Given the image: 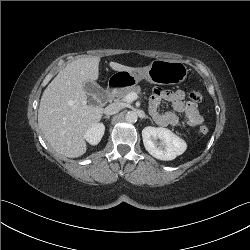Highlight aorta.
Listing matches in <instances>:
<instances>
[{"mask_svg": "<svg viewBox=\"0 0 250 250\" xmlns=\"http://www.w3.org/2000/svg\"><path fill=\"white\" fill-rule=\"evenodd\" d=\"M127 122L133 123L137 121V114L134 111H128L125 115Z\"/></svg>", "mask_w": 250, "mask_h": 250, "instance_id": "1", "label": "aorta"}]
</instances>
